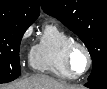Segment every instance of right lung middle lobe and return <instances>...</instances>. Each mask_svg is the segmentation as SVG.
Masks as SVG:
<instances>
[{
  "label": "right lung middle lobe",
  "mask_w": 107,
  "mask_h": 89,
  "mask_svg": "<svg viewBox=\"0 0 107 89\" xmlns=\"http://www.w3.org/2000/svg\"><path fill=\"white\" fill-rule=\"evenodd\" d=\"M27 25L0 21V83H7L21 74L19 46Z\"/></svg>",
  "instance_id": "right-lung-middle-lobe-1"
}]
</instances>
